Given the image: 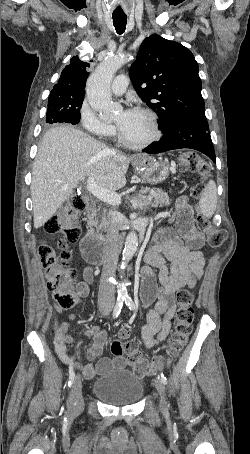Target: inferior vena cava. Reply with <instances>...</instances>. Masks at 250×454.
Masks as SVG:
<instances>
[{"label":"inferior vena cava","instance_id":"obj_1","mask_svg":"<svg viewBox=\"0 0 250 454\" xmlns=\"http://www.w3.org/2000/svg\"><path fill=\"white\" fill-rule=\"evenodd\" d=\"M111 150V149H110ZM115 152V150H111ZM105 228H106V246L104 253V265L102 278L99 287L98 302L99 305H110L112 306L115 301L114 297V287L108 281V277L114 275L118 257L120 253V246L118 243V226L115 219L110 212L105 219Z\"/></svg>","mask_w":250,"mask_h":454}]
</instances>
